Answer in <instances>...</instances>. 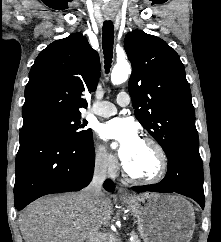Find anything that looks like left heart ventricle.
Listing matches in <instances>:
<instances>
[{"instance_id":"left-heart-ventricle-1","label":"left heart ventricle","mask_w":221,"mask_h":242,"mask_svg":"<svg viewBox=\"0 0 221 242\" xmlns=\"http://www.w3.org/2000/svg\"><path fill=\"white\" fill-rule=\"evenodd\" d=\"M128 169L140 176H149L156 171L157 159L152 148L141 142L133 155L125 162Z\"/></svg>"}]
</instances>
